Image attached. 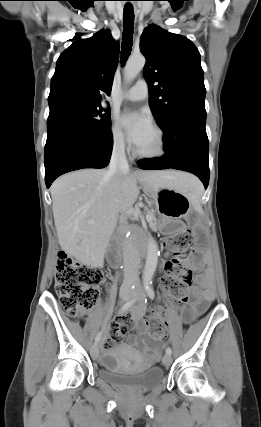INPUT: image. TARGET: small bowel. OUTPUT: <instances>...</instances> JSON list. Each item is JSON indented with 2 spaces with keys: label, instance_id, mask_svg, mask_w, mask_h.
<instances>
[{
  "label": "small bowel",
  "instance_id": "small-bowel-1",
  "mask_svg": "<svg viewBox=\"0 0 261 427\" xmlns=\"http://www.w3.org/2000/svg\"><path fill=\"white\" fill-rule=\"evenodd\" d=\"M168 263L169 261H165L163 263L165 275L162 278V281L167 275ZM183 263L192 268L197 267L194 256H189L186 260L183 261ZM198 283L202 289L196 290L194 292L196 300L193 302L191 307L184 312V320L186 322H190L198 314L202 313L206 309L208 303L214 298V286L209 275L205 274L200 276ZM163 290L167 293L164 287ZM145 311L146 306L140 305L133 307L129 312L120 316L112 327V334L104 340L103 348H111L117 339L124 336L130 328L133 331H138V334H132L128 336V343L131 346L137 348V351H135L133 354L136 360H145L146 364L148 365L158 362L160 358V349L157 345V342L161 341L163 336L161 335L158 338H148L145 335V324L143 323V316ZM140 351H143L146 354L145 359L142 357Z\"/></svg>",
  "mask_w": 261,
  "mask_h": 427
}]
</instances>
